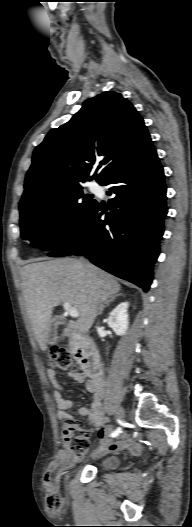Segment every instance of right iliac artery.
<instances>
[{
  "instance_id": "82829eb1",
  "label": "right iliac artery",
  "mask_w": 192,
  "mask_h": 527,
  "mask_svg": "<svg viewBox=\"0 0 192 527\" xmlns=\"http://www.w3.org/2000/svg\"><path fill=\"white\" fill-rule=\"evenodd\" d=\"M122 425H117V429L115 431H113L110 436L111 437H116L118 436L122 431Z\"/></svg>"
}]
</instances>
